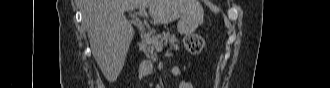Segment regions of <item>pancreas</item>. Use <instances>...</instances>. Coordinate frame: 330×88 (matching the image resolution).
<instances>
[{
    "instance_id": "pancreas-1",
    "label": "pancreas",
    "mask_w": 330,
    "mask_h": 88,
    "mask_svg": "<svg viewBox=\"0 0 330 88\" xmlns=\"http://www.w3.org/2000/svg\"><path fill=\"white\" fill-rule=\"evenodd\" d=\"M156 43H168L171 48L177 50L179 49L178 46V40L175 35L170 34L169 31L163 32L162 34H156V35H146L143 38V41L141 43V47L145 54L149 56L150 58L154 59L156 58V51H155V44Z\"/></svg>"
}]
</instances>
